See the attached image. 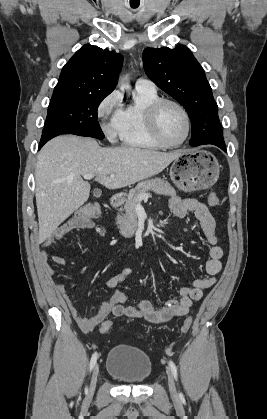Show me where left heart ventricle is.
<instances>
[{
	"label": "left heart ventricle",
	"instance_id": "b2bd125f",
	"mask_svg": "<svg viewBox=\"0 0 267 419\" xmlns=\"http://www.w3.org/2000/svg\"><path fill=\"white\" fill-rule=\"evenodd\" d=\"M159 130L162 137L169 143L179 142L185 135V120L178 108L167 104L159 113Z\"/></svg>",
	"mask_w": 267,
	"mask_h": 419
}]
</instances>
